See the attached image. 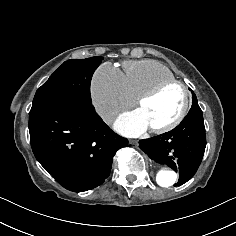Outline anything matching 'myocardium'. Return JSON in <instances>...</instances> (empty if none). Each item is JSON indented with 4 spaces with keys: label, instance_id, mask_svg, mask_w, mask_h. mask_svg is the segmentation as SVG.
<instances>
[{
    "label": "myocardium",
    "instance_id": "1",
    "mask_svg": "<svg viewBox=\"0 0 236 236\" xmlns=\"http://www.w3.org/2000/svg\"><path fill=\"white\" fill-rule=\"evenodd\" d=\"M174 85L180 87L184 95V102H183L182 110L180 114L178 115V117L175 120H173L171 123L162 127L149 128V130L154 134L162 135V134H167L169 132H172L185 121L190 110L191 92L189 88L182 81L177 80V79H168V80H163L157 83L152 88L144 92L141 96L136 98L137 106L141 107L146 102H148L149 100L153 99L158 94H160L163 90Z\"/></svg>",
    "mask_w": 236,
    "mask_h": 236
}]
</instances>
